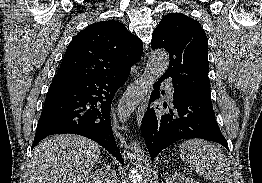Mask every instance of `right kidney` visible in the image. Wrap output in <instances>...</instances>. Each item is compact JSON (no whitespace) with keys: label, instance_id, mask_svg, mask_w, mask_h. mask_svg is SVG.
<instances>
[{"label":"right kidney","instance_id":"ca27d5eb","mask_svg":"<svg viewBox=\"0 0 262 183\" xmlns=\"http://www.w3.org/2000/svg\"><path fill=\"white\" fill-rule=\"evenodd\" d=\"M82 183H118L115 171L111 166L102 167L88 175Z\"/></svg>","mask_w":262,"mask_h":183}]
</instances>
